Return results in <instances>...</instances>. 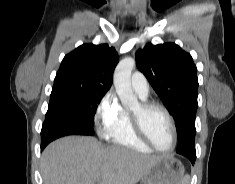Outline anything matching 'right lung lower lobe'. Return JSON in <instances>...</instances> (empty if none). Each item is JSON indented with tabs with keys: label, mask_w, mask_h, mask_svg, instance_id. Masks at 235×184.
I'll list each match as a JSON object with an SVG mask.
<instances>
[{
	"label": "right lung lower lobe",
	"mask_w": 235,
	"mask_h": 184,
	"mask_svg": "<svg viewBox=\"0 0 235 184\" xmlns=\"http://www.w3.org/2000/svg\"><path fill=\"white\" fill-rule=\"evenodd\" d=\"M66 135H94L93 126L68 108L49 103L41 130V151L53 140Z\"/></svg>",
	"instance_id": "1"
}]
</instances>
